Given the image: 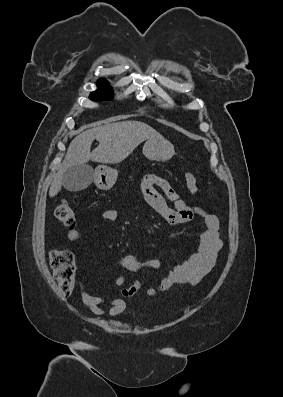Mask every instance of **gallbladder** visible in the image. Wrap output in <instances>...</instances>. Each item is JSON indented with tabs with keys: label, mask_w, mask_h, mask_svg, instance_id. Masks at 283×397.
I'll list each match as a JSON object with an SVG mask.
<instances>
[{
	"label": "gallbladder",
	"mask_w": 283,
	"mask_h": 397,
	"mask_svg": "<svg viewBox=\"0 0 283 397\" xmlns=\"http://www.w3.org/2000/svg\"><path fill=\"white\" fill-rule=\"evenodd\" d=\"M92 181L93 169L86 164L69 167L62 177L64 188L73 192L86 189Z\"/></svg>",
	"instance_id": "obj_1"
}]
</instances>
